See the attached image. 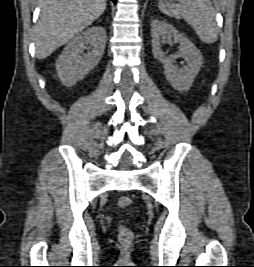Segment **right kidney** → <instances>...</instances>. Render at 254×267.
Masks as SVG:
<instances>
[{
	"label": "right kidney",
	"instance_id": "ca27d5eb",
	"mask_svg": "<svg viewBox=\"0 0 254 267\" xmlns=\"http://www.w3.org/2000/svg\"><path fill=\"white\" fill-rule=\"evenodd\" d=\"M105 45L106 31L101 26L88 28L69 42L56 61L62 84L70 87L83 79L99 63Z\"/></svg>",
	"mask_w": 254,
	"mask_h": 267
}]
</instances>
